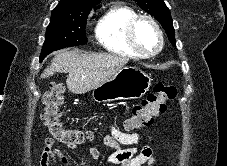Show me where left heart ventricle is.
Returning <instances> with one entry per match:
<instances>
[{
    "label": "left heart ventricle",
    "instance_id": "1",
    "mask_svg": "<svg viewBox=\"0 0 227 166\" xmlns=\"http://www.w3.org/2000/svg\"><path fill=\"white\" fill-rule=\"evenodd\" d=\"M135 37L140 48L145 52H152L158 46V36L152 25L147 21L138 23Z\"/></svg>",
    "mask_w": 227,
    "mask_h": 166
}]
</instances>
